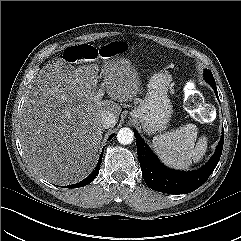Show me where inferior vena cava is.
<instances>
[{
	"mask_svg": "<svg viewBox=\"0 0 241 241\" xmlns=\"http://www.w3.org/2000/svg\"><path fill=\"white\" fill-rule=\"evenodd\" d=\"M116 122V117L110 112L104 113L101 116V125L105 129L115 126Z\"/></svg>",
	"mask_w": 241,
	"mask_h": 241,
	"instance_id": "obj_1",
	"label": "inferior vena cava"
}]
</instances>
